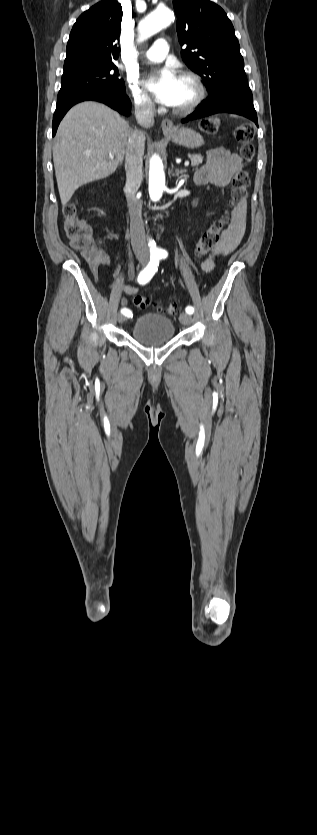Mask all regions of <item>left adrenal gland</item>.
<instances>
[{"label": "left adrenal gland", "mask_w": 317, "mask_h": 835, "mask_svg": "<svg viewBox=\"0 0 317 835\" xmlns=\"http://www.w3.org/2000/svg\"><path fill=\"white\" fill-rule=\"evenodd\" d=\"M172 170H173V166H172ZM185 172H186V170H179V169H176L175 173H173V176H177V177H179V174H183V173H185Z\"/></svg>", "instance_id": "left-adrenal-gland-1"}]
</instances>
